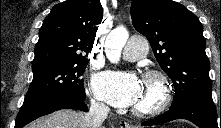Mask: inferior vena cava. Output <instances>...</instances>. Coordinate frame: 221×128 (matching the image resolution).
<instances>
[{"mask_svg":"<svg viewBox=\"0 0 221 128\" xmlns=\"http://www.w3.org/2000/svg\"><path fill=\"white\" fill-rule=\"evenodd\" d=\"M109 113V108L95 101L91 102L89 112L85 116L88 128H101L103 121Z\"/></svg>","mask_w":221,"mask_h":128,"instance_id":"602c4592","label":"inferior vena cava"}]
</instances>
